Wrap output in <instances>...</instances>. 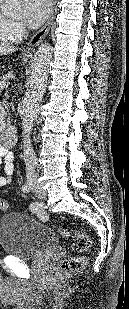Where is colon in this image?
Instances as JSON below:
<instances>
[{
	"instance_id": "1",
	"label": "colon",
	"mask_w": 129,
	"mask_h": 309,
	"mask_svg": "<svg viewBox=\"0 0 129 309\" xmlns=\"http://www.w3.org/2000/svg\"><path fill=\"white\" fill-rule=\"evenodd\" d=\"M9 208V203L0 198V210L5 211ZM37 216L45 219L46 213L42 210L37 211ZM57 231L64 237L73 240V249L80 255L72 256L65 259L61 264V270L65 274H70L81 270L87 262V253L91 248V239L89 235L82 229L69 230L62 227H57Z\"/></svg>"
}]
</instances>
